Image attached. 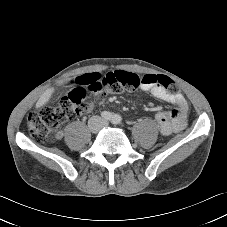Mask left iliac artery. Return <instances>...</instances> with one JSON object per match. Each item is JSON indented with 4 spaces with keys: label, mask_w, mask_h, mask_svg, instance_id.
I'll return each mask as SVG.
<instances>
[{
    "label": "left iliac artery",
    "mask_w": 227,
    "mask_h": 227,
    "mask_svg": "<svg viewBox=\"0 0 227 227\" xmlns=\"http://www.w3.org/2000/svg\"><path fill=\"white\" fill-rule=\"evenodd\" d=\"M121 120H122L121 117L117 114L113 115V117H112L113 124H119L121 122Z\"/></svg>",
    "instance_id": "left-iliac-artery-1"
}]
</instances>
